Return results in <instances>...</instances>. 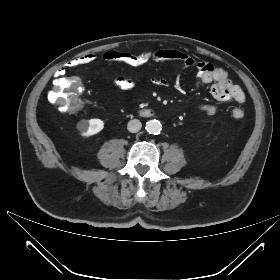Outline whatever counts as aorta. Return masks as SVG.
Masks as SVG:
<instances>
[{
	"label": "aorta",
	"instance_id": "1",
	"mask_svg": "<svg viewBox=\"0 0 280 280\" xmlns=\"http://www.w3.org/2000/svg\"><path fill=\"white\" fill-rule=\"evenodd\" d=\"M162 129L161 123L157 120H149L146 123V130L150 134H159Z\"/></svg>",
	"mask_w": 280,
	"mask_h": 280
}]
</instances>
